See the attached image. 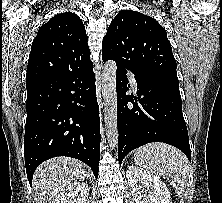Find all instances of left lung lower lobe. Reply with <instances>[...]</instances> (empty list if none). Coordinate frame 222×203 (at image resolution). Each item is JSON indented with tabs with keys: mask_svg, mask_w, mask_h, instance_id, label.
<instances>
[{
	"mask_svg": "<svg viewBox=\"0 0 222 203\" xmlns=\"http://www.w3.org/2000/svg\"><path fill=\"white\" fill-rule=\"evenodd\" d=\"M106 62L109 58L102 57ZM126 68L117 66L118 160L133 149L151 142H163L180 149L189 160L191 150L182 114L179 81L170 76L136 74L137 95L129 89ZM137 99L140 101L136 103Z\"/></svg>",
	"mask_w": 222,
	"mask_h": 203,
	"instance_id": "1",
	"label": "left lung lower lobe"
}]
</instances>
